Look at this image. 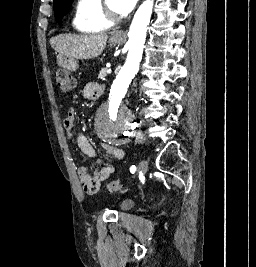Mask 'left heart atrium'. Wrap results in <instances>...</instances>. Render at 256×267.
Listing matches in <instances>:
<instances>
[{"instance_id": "left-heart-atrium-1", "label": "left heart atrium", "mask_w": 256, "mask_h": 267, "mask_svg": "<svg viewBox=\"0 0 256 267\" xmlns=\"http://www.w3.org/2000/svg\"><path fill=\"white\" fill-rule=\"evenodd\" d=\"M116 2L118 15L124 18L132 11L136 0H116Z\"/></svg>"}]
</instances>
